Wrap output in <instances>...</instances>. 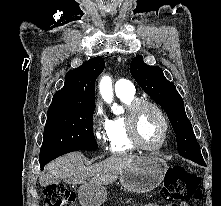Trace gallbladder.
<instances>
[{"label": "gallbladder", "instance_id": "gallbladder-1", "mask_svg": "<svg viewBox=\"0 0 221 206\" xmlns=\"http://www.w3.org/2000/svg\"><path fill=\"white\" fill-rule=\"evenodd\" d=\"M56 181V180H55ZM53 179H50L49 181H41L40 185L41 186H51L52 182H55Z\"/></svg>", "mask_w": 221, "mask_h": 206}]
</instances>
